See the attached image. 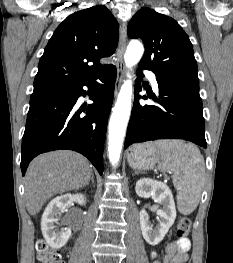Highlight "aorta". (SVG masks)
Wrapping results in <instances>:
<instances>
[{"mask_svg":"<svg viewBox=\"0 0 233 263\" xmlns=\"http://www.w3.org/2000/svg\"><path fill=\"white\" fill-rule=\"evenodd\" d=\"M143 52V45L139 41H130L124 55L126 66L131 68L137 64L140 61ZM128 77L129 79L124 81L118 94L109 122L108 153L109 159L113 165L117 164L119 161L126 127L131 112L132 81L130 75H128Z\"/></svg>","mask_w":233,"mask_h":263,"instance_id":"obj_1","label":"aorta"}]
</instances>
